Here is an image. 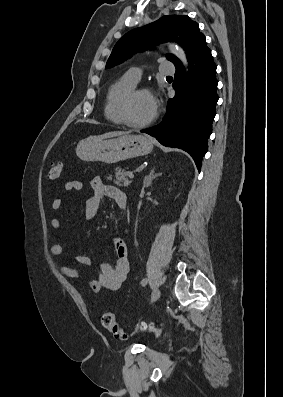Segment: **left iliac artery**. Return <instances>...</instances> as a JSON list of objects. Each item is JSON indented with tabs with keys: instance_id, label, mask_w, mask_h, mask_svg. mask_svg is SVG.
I'll use <instances>...</instances> for the list:
<instances>
[{
	"instance_id": "44dca946",
	"label": "left iliac artery",
	"mask_w": 283,
	"mask_h": 397,
	"mask_svg": "<svg viewBox=\"0 0 283 397\" xmlns=\"http://www.w3.org/2000/svg\"><path fill=\"white\" fill-rule=\"evenodd\" d=\"M147 282H148V280H147V278H145V279H143V280L141 281V285H142V286H145V285L147 284Z\"/></svg>"
}]
</instances>
